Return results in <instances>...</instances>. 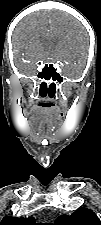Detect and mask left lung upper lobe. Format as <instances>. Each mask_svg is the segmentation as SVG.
<instances>
[{
	"label": "left lung upper lobe",
	"instance_id": "obj_1",
	"mask_svg": "<svg viewBox=\"0 0 101 225\" xmlns=\"http://www.w3.org/2000/svg\"><path fill=\"white\" fill-rule=\"evenodd\" d=\"M53 225H101V222L92 210L79 208L70 216H59Z\"/></svg>",
	"mask_w": 101,
	"mask_h": 225
}]
</instances>
